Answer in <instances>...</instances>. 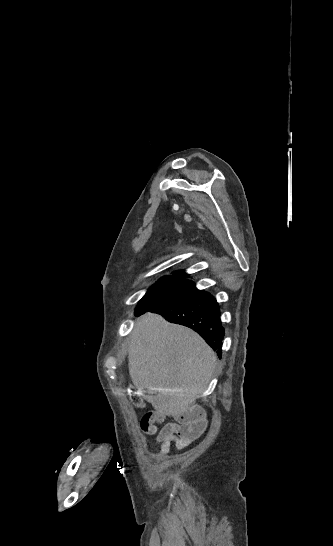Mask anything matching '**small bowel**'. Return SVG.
Wrapping results in <instances>:
<instances>
[{
	"label": "small bowel",
	"mask_w": 333,
	"mask_h": 546,
	"mask_svg": "<svg viewBox=\"0 0 333 546\" xmlns=\"http://www.w3.org/2000/svg\"><path fill=\"white\" fill-rule=\"evenodd\" d=\"M155 419L161 421L163 416L155 414ZM206 426V420L194 417H178L175 423H166L156 437L161 444L158 455L167 454L172 444L177 448L186 447L205 431Z\"/></svg>",
	"instance_id": "obj_1"
}]
</instances>
